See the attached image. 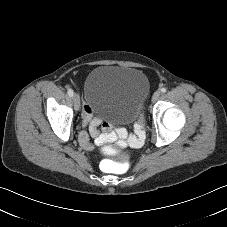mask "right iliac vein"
<instances>
[{
  "instance_id": "right-iliac-vein-1",
  "label": "right iliac vein",
  "mask_w": 227,
  "mask_h": 227,
  "mask_svg": "<svg viewBox=\"0 0 227 227\" xmlns=\"http://www.w3.org/2000/svg\"><path fill=\"white\" fill-rule=\"evenodd\" d=\"M73 102H74V107H75V110H79L80 108V97L77 93H75L73 95Z\"/></svg>"
}]
</instances>
